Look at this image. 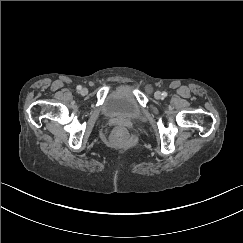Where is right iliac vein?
Returning <instances> with one entry per match:
<instances>
[{
    "instance_id": "63e3f726",
    "label": "right iliac vein",
    "mask_w": 243,
    "mask_h": 243,
    "mask_svg": "<svg viewBox=\"0 0 243 243\" xmlns=\"http://www.w3.org/2000/svg\"><path fill=\"white\" fill-rule=\"evenodd\" d=\"M80 93L82 95H86L88 93V90L86 88H83V89L80 90Z\"/></svg>"
}]
</instances>
